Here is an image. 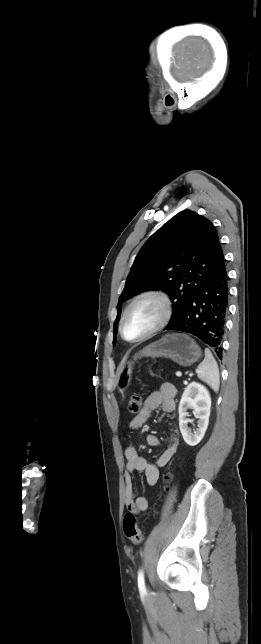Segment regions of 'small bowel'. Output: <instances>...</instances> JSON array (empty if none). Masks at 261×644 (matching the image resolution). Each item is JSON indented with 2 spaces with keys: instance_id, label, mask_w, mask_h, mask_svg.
Here are the masks:
<instances>
[{
  "instance_id": "1",
  "label": "small bowel",
  "mask_w": 261,
  "mask_h": 644,
  "mask_svg": "<svg viewBox=\"0 0 261 644\" xmlns=\"http://www.w3.org/2000/svg\"><path fill=\"white\" fill-rule=\"evenodd\" d=\"M176 388L171 383H164L158 389L152 391L146 398L141 411L130 421L129 428L136 430L141 428L150 418L151 413L161 407L163 412L171 414L176 409L175 396ZM147 444L153 447L160 445V439L155 434H148L146 437ZM179 444L178 433L172 429L170 433L169 445L159 455L156 465L149 464L142 456L139 455L136 448L129 446L125 450L126 469L124 473L125 496L124 503L131 513H140L148 509V501L143 496H137L133 484L134 472H143L146 482L149 485H155L159 480V467H164L174 456Z\"/></svg>"
}]
</instances>
